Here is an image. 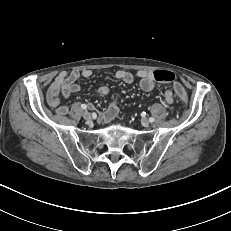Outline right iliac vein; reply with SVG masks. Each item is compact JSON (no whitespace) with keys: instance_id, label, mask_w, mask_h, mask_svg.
Returning a JSON list of instances; mask_svg holds the SVG:
<instances>
[{"instance_id":"right-iliac-vein-1","label":"right iliac vein","mask_w":231,"mask_h":231,"mask_svg":"<svg viewBox=\"0 0 231 231\" xmlns=\"http://www.w3.org/2000/svg\"><path fill=\"white\" fill-rule=\"evenodd\" d=\"M83 118L88 121L91 119V114L88 111H85L83 113Z\"/></svg>"}]
</instances>
